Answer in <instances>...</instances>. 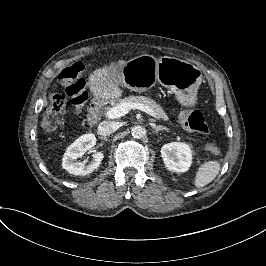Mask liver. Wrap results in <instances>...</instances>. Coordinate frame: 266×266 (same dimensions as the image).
<instances>
[{"label":"liver","mask_w":266,"mask_h":266,"mask_svg":"<svg viewBox=\"0 0 266 266\" xmlns=\"http://www.w3.org/2000/svg\"><path fill=\"white\" fill-rule=\"evenodd\" d=\"M128 64L125 59H118L101 67H96L87 76L86 88L94 98L102 101H120L125 88L117 77V73Z\"/></svg>","instance_id":"obj_1"}]
</instances>
